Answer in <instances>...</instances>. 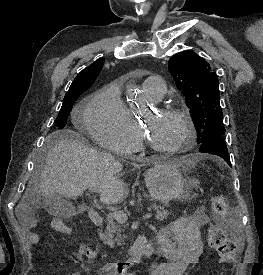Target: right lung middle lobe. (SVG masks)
Masks as SVG:
<instances>
[{
  "instance_id": "dd1d6c3e",
  "label": "right lung middle lobe",
  "mask_w": 263,
  "mask_h": 275,
  "mask_svg": "<svg viewBox=\"0 0 263 275\" xmlns=\"http://www.w3.org/2000/svg\"><path fill=\"white\" fill-rule=\"evenodd\" d=\"M86 89L74 91L72 93H66L62 107L58 113V116L56 118V124L55 126L59 129H62L66 123L69 116V113L72 110V106L77 100L78 96L81 95Z\"/></svg>"
}]
</instances>
